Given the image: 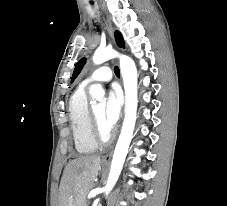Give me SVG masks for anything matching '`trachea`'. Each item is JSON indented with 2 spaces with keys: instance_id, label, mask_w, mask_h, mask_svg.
<instances>
[{
  "instance_id": "3493384b",
  "label": "trachea",
  "mask_w": 227,
  "mask_h": 206,
  "mask_svg": "<svg viewBox=\"0 0 227 206\" xmlns=\"http://www.w3.org/2000/svg\"><path fill=\"white\" fill-rule=\"evenodd\" d=\"M114 72L117 77H120V70L117 66L114 67Z\"/></svg>"
}]
</instances>
